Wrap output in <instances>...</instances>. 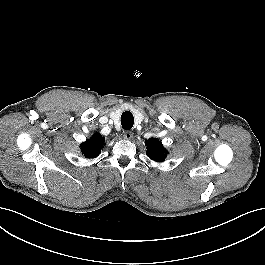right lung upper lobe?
Wrapping results in <instances>:
<instances>
[{
	"instance_id": "cb5924a9",
	"label": "right lung upper lobe",
	"mask_w": 265,
	"mask_h": 265,
	"mask_svg": "<svg viewBox=\"0 0 265 265\" xmlns=\"http://www.w3.org/2000/svg\"><path fill=\"white\" fill-rule=\"evenodd\" d=\"M104 142V137H102L99 133H94L90 139L80 145L81 152L86 158H95L101 152Z\"/></svg>"
}]
</instances>
